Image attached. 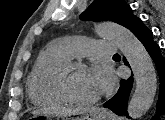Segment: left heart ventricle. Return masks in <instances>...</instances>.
I'll use <instances>...</instances> for the list:
<instances>
[{
  "instance_id": "b2bd125f",
  "label": "left heart ventricle",
  "mask_w": 165,
  "mask_h": 120,
  "mask_svg": "<svg viewBox=\"0 0 165 120\" xmlns=\"http://www.w3.org/2000/svg\"><path fill=\"white\" fill-rule=\"evenodd\" d=\"M71 92L79 98H95L100 95L88 69L75 70L69 79Z\"/></svg>"
}]
</instances>
